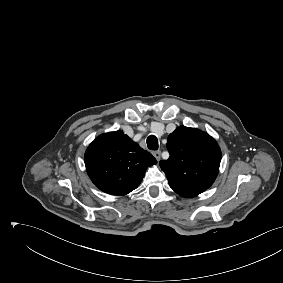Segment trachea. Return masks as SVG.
<instances>
[{
    "label": "trachea",
    "instance_id": "obj_1",
    "mask_svg": "<svg viewBox=\"0 0 283 283\" xmlns=\"http://www.w3.org/2000/svg\"><path fill=\"white\" fill-rule=\"evenodd\" d=\"M147 147L150 150H158V140H157L156 136L150 135L147 138Z\"/></svg>",
    "mask_w": 283,
    "mask_h": 283
}]
</instances>
